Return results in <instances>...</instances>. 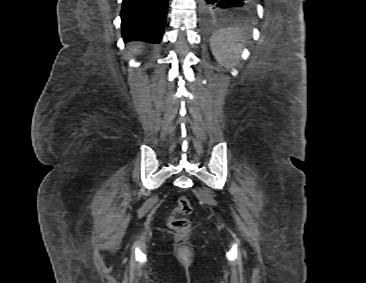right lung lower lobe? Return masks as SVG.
<instances>
[{"instance_id": "right-lung-lower-lobe-1", "label": "right lung lower lobe", "mask_w": 366, "mask_h": 283, "mask_svg": "<svg viewBox=\"0 0 366 283\" xmlns=\"http://www.w3.org/2000/svg\"><path fill=\"white\" fill-rule=\"evenodd\" d=\"M168 0H123L122 36L125 42L160 43Z\"/></svg>"}]
</instances>
